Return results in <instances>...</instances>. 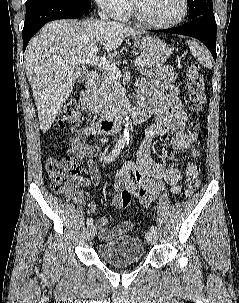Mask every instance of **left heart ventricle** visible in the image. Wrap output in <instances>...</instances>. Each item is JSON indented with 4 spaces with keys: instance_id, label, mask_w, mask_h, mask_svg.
Returning <instances> with one entry per match:
<instances>
[{
    "instance_id": "obj_1",
    "label": "left heart ventricle",
    "mask_w": 239,
    "mask_h": 303,
    "mask_svg": "<svg viewBox=\"0 0 239 303\" xmlns=\"http://www.w3.org/2000/svg\"><path fill=\"white\" fill-rule=\"evenodd\" d=\"M143 16L153 22H168L182 11L181 0H136Z\"/></svg>"
}]
</instances>
